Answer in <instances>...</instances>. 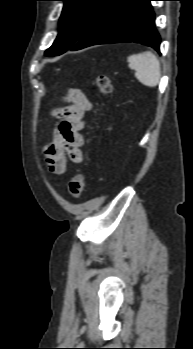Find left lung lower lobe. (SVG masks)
<instances>
[{"label":"left lung lower lobe","instance_id":"1","mask_svg":"<svg viewBox=\"0 0 193 349\" xmlns=\"http://www.w3.org/2000/svg\"><path fill=\"white\" fill-rule=\"evenodd\" d=\"M153 0H110L71 50L92 45L138 42L159 52L160 36L154 26Z\"/></svg>","mask_w":193,"mask_h":349}]
</instances>
